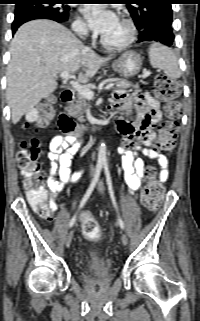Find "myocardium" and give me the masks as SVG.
Returning a JSON list of instances; mask_svg holds the SVG:
<instances>
[{
  "mask_svg": "<svg viewBox=\"0 0 200 321\" xmlns=\"http://www.w3.org/2000/svg\"><path fill=\"white\" fill-rule=\"evenodd\" d=\"M120 19L127 25L128 30H129V36H128L127 40L121 44H110L104 39L103 36H101L100 43L107 50H110V51L125 50L128 47H130L134 43V41L136 40L137 28H136L135 22L130 17H128L124 14H122L120 16Z\"/></svg>",
  "mask_w": 200,
  "mask_h": 321,
  "instance_id": "myocardium-1",
  "label": "myocardium"
}]
</instances>
